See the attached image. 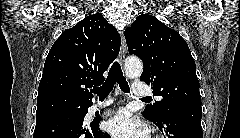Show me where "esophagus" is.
I'll use <instances>...</instances> for the list:
<instances>
[{
    "label": "esophagus",
    "mask_w": 240,
    "mask_h": 138,
    "mask_svg": "<svg viewBox=\"0 0 240 138\" xmlns=\"http://www.w3.org/2000/svg\"><path fill=\"white\" fill-rule=\"evenodd\" d=\"M127 47H126V41L124 33H122L121 37V47H120V54H119V62L121 65H123L125 55H126Z\"/></svg>",
    "instance_id": "34e87169"
}]
</instances>
